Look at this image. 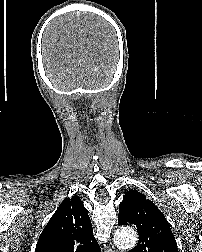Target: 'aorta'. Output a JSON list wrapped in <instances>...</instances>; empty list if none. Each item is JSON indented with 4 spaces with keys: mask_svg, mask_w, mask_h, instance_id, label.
I'll list each match as a JSON object with an SVG mask.
<instances>
[{
    "mask_svg": "<svg viewBox=\"0 0 202 252\" xmlns=\"http://www.w3.org/2000/svg\"><path fill=\"white\" fill-rule=\"evenodd\" d=\"M138 241L136 231L130 227H121L114 234V242L117 247L122 249L133 248Z\"/></svg>",
    "mask_w": 202,
    "mask_h": 252,
    "instance_id": "1",
    "label": "aorta"
}]
</instances>
